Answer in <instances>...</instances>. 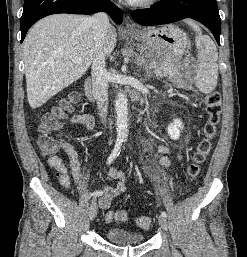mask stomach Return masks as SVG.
Here are the masks:
<instances>
[{"instance_id": "obj_1", "label": "stomach", "mask_w": 247, "mask_h": 257, "mask_svg": "<svg viewBox=\"0 0 247 257\" xmlns=\"http://www.w3.org/2000/svg\"><path fill=\"white\" fill-rule=\"evenodd\" d=\"M129 36L136 41L137 52H133L132 56L137 64L149 67L170 63L174 67L173 73L169 76L171 80L184 87L195 82V77H188L179 65L188 43L187 36L182 30L167 25L160 28H145L130 33Z\"/></svg>"}]
</instances>
